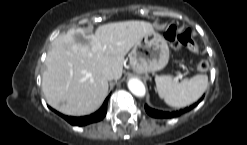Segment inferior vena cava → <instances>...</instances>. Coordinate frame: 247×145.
I'll return each mask as SVG.
<instances>
[{"label":"inferior vena cava","instance_id":"602c4592","mask_svg":"<svg viewBox=\"0 0 247 145\" xmlns=\"http://www.w3.org/2000/svg\"><path fill=\"white\" fill-rule=\"evenodd\" d=\"M102 75L107 80H112L114 78L113 72L108 68L103 69Z\"/></svg>","mask_w":247,"mask_h":145}]
</instances>
